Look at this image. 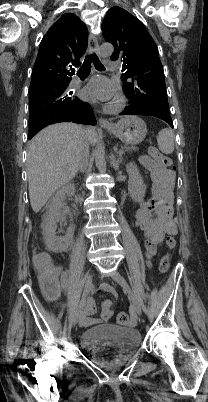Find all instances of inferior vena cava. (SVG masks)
I'll return each mask as SVG.
<instances>
[{"instance_id":"1","label":"inferior vena cava","mask_w":208,"mask_h":402,"mask_svg":"<svg viewBox=\"0 0 208 402\" xmlns=\"http://www.w3.org/2000/svg\"><path fill=\"white\" fill-rule=\"evenodd\" d=\"M82 134H84V132H82ZM76 156H77L80 172H86V170L88 168V162H89V144H88V140H86L85 136H82V138L79 142Z\"/></svg>"}]
</instances>
